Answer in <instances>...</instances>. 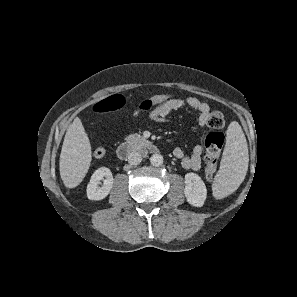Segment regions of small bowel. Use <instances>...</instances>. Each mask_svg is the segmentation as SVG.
<instances>
[{"mask_svg":"<svg viewBox=\"0 0 297 297\" xmlns=\"http://www.w3.org/2000/svg\"><path fill=\"white\" fill-rule=\"evenodd\" d=\"M183 107H190L199 113V124L205 126L210 115L209 105L197 97L189 96L186 98H170L162 103L153 106L151 109L144 111L149 112V118L156 122H163L168 115L175 110ZM140 112L135 111V114ZM202 147L196 146L190 155H185L182 148L174 149L173 154L176 158L181 160V165L185 169L199 170L201 168Z\"/></svg>","mask_w":297,"mask_h":297,"instance_id":"c3829d8e","label":"small bowel"}]
</instances>
